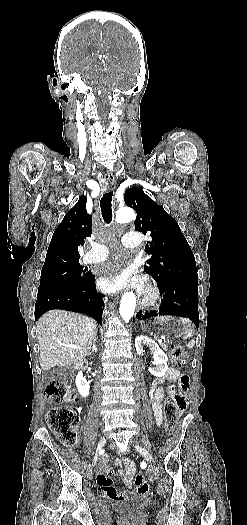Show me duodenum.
Segmentation results:
<instances>
[{"mask_svg": "<svg viewBox=\"0 0 247 525\" xmlns=\"http://www.w3.org/2000/svg\"><path fill=\"white\" fill-rule=\"evenodd\" d=\"M82 368H83V365H80V366H79V369H82Z\"/></svg>", "mask_w": 247, "mask_h": 525, "instance_id": "410a0bca", "label": "duodenum"}]
</instances>
